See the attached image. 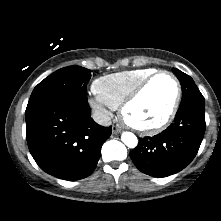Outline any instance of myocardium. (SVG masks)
Segmentation results:
<instances>
[{"mask_svg": "<svg viewBox=\"0 0 221 221\" xmlns=\"http://www.w3.org/2000/svg\"><path fill=\"white\" fill-rule=\"evenodd\" d=\"M160 75L169 76L172 79L176 89L174 101L172 103V106L168 114L165 116V118L162 121L149 127H141L131 123L126 116L128 108L140 97V95L144 92V90L148 87V85ZM181 96H182V89L178 78L170 71L157 70L148 77H146L145 79H143L123 100V102L120 105V116L124 124L130 129L134 130L135 132L141 135H155L163 131L165 128H167L170 125V123L174 120L180 105Z\"/></svg>", "mask_w": 221, "mask_h": 221, "instance_id": "obj_1", "label": "myocardium"}]
</instances>
